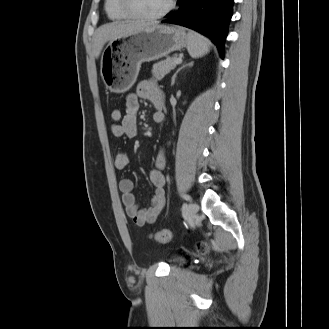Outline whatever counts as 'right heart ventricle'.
Here are the masks:
<instances>
[{
  "label": "right heart ventricle",
  "mask_w": 329,
  "mask_h": 329,
  "mask_svg": "<svg viewBox=\"0 0 329 329\" xmlns=\"http://www.w3.org/2000/svg\"><path fill=\"white\" fill-rule=\"evenodd\" d=\"M105 12L113 21H124L129 17L122 11L119 0H105Z\"/></svg>",
  "instance_id": "right-heart-ventricle-1"
}]
</instances>
